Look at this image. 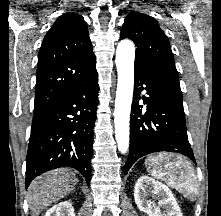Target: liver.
I'll return each instance as SVG.
<instances>
[{
	"label": "liver",
	"instance_id": "6515ba94",
	"mask_svg": "<svg viewBox=\"0 0 221 216\" xmlns=\"http://www.w3.org/2000/svg\"><path fill=\"white\" fill-rule=\"evenodd\" d=\"M77 182L75 173L67 168L52 170L34 179L27 193L32 216H38L52 203L72 192Z\"/></svg>",
	"mask_w": 221,
	"mask_h": 216
}]
</instances>
